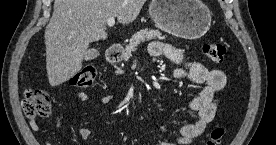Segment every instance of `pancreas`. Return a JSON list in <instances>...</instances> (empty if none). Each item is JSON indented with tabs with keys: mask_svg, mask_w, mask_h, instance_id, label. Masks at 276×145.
<instances>
[{
	"mask_svg": "<svg viewBox=\"0 0 276 145\" xmlns=\"http://www.w3.org/2000/svg\"><path fill=\"white\" fill-rule=\"evenodd\" d=\"M165 39V36H162V33L158 30H152V29H142L135 33L132 38L129 40L128 45L125 48L124 52V60L128 61L132 55V53L136 52L137 47L145 42L152 39Z\"/></svg>",
	"mask_w": 276,
	"mask_h": 145,
	"instance_id": "1",
	"label": "pancreas"
}]
</instances>
